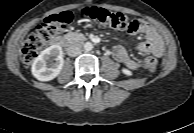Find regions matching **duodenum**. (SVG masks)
<instances>
[{"instance_id":"1","label":"duodenum","mask_w":194,"mask_h":133,"mask_svg":"<svg viewBox=\"0 0 194 133\" xmlns=\"http://www.w3.org/2000/svg\"><path fill=\"white\" fill-rule=\"evenodd\" d=\"M86 41H87V38L85 36L73 37V38L58 36L53 40V44L60 47H68L73 43H76V42L85 43Z\"/></svg>"}]
</instances>
